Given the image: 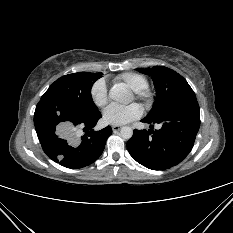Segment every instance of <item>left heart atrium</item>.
I'll list each match as a JSON object with an SVG mask.
<instances>
[{
  "label": "left heart atrium",
  "mask_w": 233,
  "mask_h": 233,
  "mask_svg": "<svg viewBox=\"0 0 233 233\" xmlns=\"http://www.w3.org/2000/svg\"><path fill=\"white\" fill-rule=\"evenodd\" d=\"M142 114V108L137 104L109 105L103 112V120L111 125H125L138 119Z\"/></svg>",
  "instance_id": "left-heart-atrium-1"
}]
</instances>
